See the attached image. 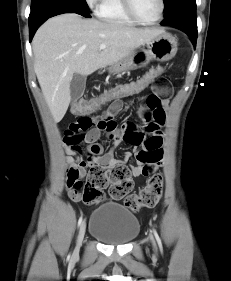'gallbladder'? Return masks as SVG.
<instances>
[{
  "instance_id": "obj_1",
  "label": "gallbladder",
  "mask_w": 231,
  "mask_h": 281,
  "mask_svg": "<svg viewBox=\"0 0 231 281\" xmlns=\"http://www.w3.org/2000/svg\"><path fill=\"white\" fill-rule=\"evenodd\" d=\"M85 86L86 77L84 75L75 73L70 83V94L72 101H76L83 95Z\"/></svg>"
}]
</instances>
